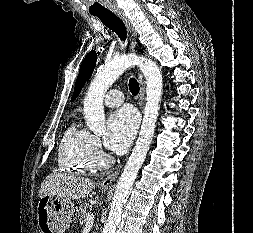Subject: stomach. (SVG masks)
<instances>
[{
    "label": "stomach",
    "mask_w": 253,
    "mask_h": 233,
    "mask_svg": "<svg viewBox=\"0 0 253 233\" xmlns=\"http://www.w3.org/2000/svg\"><path fill=\"white\" fill-rule=\"evenodd\" d=\"M74 204L70 199L45 195L37 206V222L40 233H64L70 226Z\"/></svg>",
    "instance_id": "obj_1"
}]
</instances>
